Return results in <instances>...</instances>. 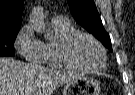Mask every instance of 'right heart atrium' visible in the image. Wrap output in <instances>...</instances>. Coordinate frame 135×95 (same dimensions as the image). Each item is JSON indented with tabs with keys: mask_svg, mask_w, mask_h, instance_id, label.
<instances>
[{
	"mask_svg": "<svg viewBox=\"0 0 135 95\" xmlns=\"http://www.w3.org/2000/svg\"><path fill=\"white\" fill-rule=\"evenodd\" d=\"M15 48L26 60L41 63L44 61L43 42L34 34L30 24L24 25L15 38Z\"/></svg>",
	"mask_w": 135,
	"mask_h": 95,
	"instance_id": "1",
	"label": "right heart atrium"
}]
</instances>
